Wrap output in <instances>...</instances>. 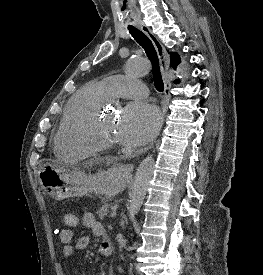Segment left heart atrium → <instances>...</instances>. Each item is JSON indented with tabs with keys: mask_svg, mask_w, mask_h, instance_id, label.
I'll list each match as a JSON object with an SVG mask.
<instances>
[{
	"mask_svg": "<svg viewBox=\"0 0 263 275\" xmlns=\"http://www.w3.org/2000/svg\"><path fill=\"white\" fill-rule=\"evenodd\" d=\"M160 125L161 114L155 105L134 101L125 107L117 125V133L124 144L139 146L150 141Z\"/></svg>",
	"mask_w": 263,
	"mask_h": 275,
	"instance_id": "left-heart-atrium-1",
	"label": "left heart atrium"
}]
</instances>
